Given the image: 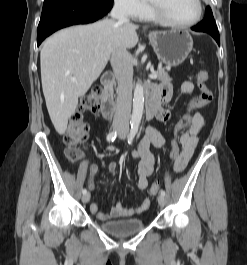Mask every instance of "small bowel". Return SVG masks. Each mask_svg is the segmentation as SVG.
<instances>
[{
	"label": "small bowel",
	"mask_w": 247,
	"mask_h": 265,
	"mask_svg": "<svg viewBox=\"0 0 247 265\" xmlns=\"http://www.w3.org/2000/svg\"><path fill=\"white\" fill-rule=\"evenodd\" d=\"M156 92V104L154 116L161 122H168L171 119V112L166 105L172 99L174 88L169 83H162L158 86H150ZM178 92L191 96L194 92V84L186 81L181 84ZM205 126V115L197 113L191 121L190 128L180 137L181 149L179 157L174 165L177 172L182 171L188 164L193 155L198 142L199 134ZM153 145L159 149H164L166 140L162 134L154 128L146 129L143 138L141 139L138 148L133 152L132 157L138 159L137 164V180L136 185L140 190H146L149 186V178L152 176L155 169V158L150 151V146ZM117 164L112 162L108 169L110 172L117 171ZM98 172V167L95 164L90 166L89 187H94V178ZM150 207V200L144 199L136 208H126L120 202L115 203L109 211H100L96 203L90 205V211L100 221H107L114 218L132 217L136 214L146 211Z\"/></svg>",
	"instance_id": "c3829d8e"
}]
</instances>
